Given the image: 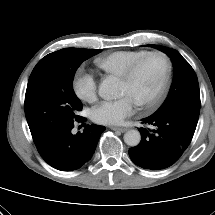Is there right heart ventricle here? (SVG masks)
Instances as JSON below:
<instances>
[{"label":"right heart ventricle","mask_w":215,"mask_h":215,"mask_svg":"<svg viewBox=\"0 0 215 215\" xmlns=\"http://www.w3.org/2000/svg\"><path fill=\"white\" fill-rule=\"evenodd\" d=\"M146 50H121L109 53L96 60L99 68L108 74L120 77L128 66L145 54Z\"/></svg>","instance_id":"e07e8e85"}]
</instances>
